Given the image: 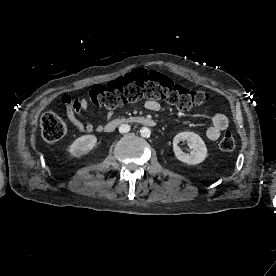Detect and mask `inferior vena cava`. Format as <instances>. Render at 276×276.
I'll return each instance as SVG.
<instances>
[{"mask_svg":"<svg viewBox=\"0 0 276 276\" xmlns=\"http://www.w3.org/2000/svg\"><path fill=\"white\" fill-rule=\"evenodd\" d=\"M130 131V125L128 124H122L120 127H119V132L120 133H127Z\"/></svg>","mask_w":276,"mask_h":276,"instance_id":"inferior-vena-cava-1","label":"inferior vena cava"}]
</instances>
